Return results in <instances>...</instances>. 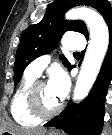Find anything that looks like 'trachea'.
Wrapping results in <instances>:
<instances>
[{
  "label": "trachea",
  "mask_w": 112,
  "mask_h": 135,
  "mask_svg": "<svg viewBox=\"0 0 112 135\" xmlns=\"http://www.w3.org/2000/svg\"><path fill=\"white\" fill-rule=\"evenodd\" d=\"M80 53L79 52H74V55H79Z\"/></svg>",
  "instance_id": "trachea-1"
}]
</instances>
